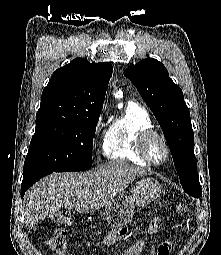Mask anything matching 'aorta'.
<instances>
[{
	"label": "aorta",
	"instance_id": "762f6f07",
	"mask_svg": "<svg viewBox=\"0 0 221 255\" xmlns=\"http://www.w3.org/2000/svg\"><path fill=\"white\" fill-rule=\"evenodd\" d=\"M115 98H117V99L123 98V93L121 91H116Z\"/></svg>",
	"mask_w": 221,
	"mask_h": 255
}]
</instances>
